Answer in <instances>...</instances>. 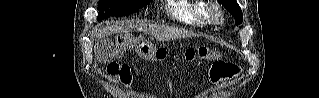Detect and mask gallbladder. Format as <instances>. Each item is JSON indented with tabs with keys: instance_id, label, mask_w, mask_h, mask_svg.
<instances>
[{
	"instance_id": "bac80fb5",
	"label": "gallbladder",
	"mask_w": 319,
	"mask_h": 98,
	"mask_svg": "<svg viewBox=\"0 0 319 98\" xmlns=\"http://www.w3.org/2000/svg\"><path fill=\"white\" fill-rule=\"evenodd\" d=\"M95 53L97 58L99 57L98 60L101 63H103L104 61L106 63L113 58V50L111 48H106V50H104L102 47L97 48Z\"/></svg>"
}]
</instances>
